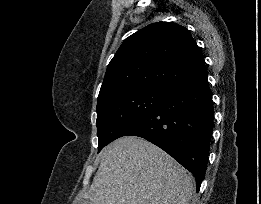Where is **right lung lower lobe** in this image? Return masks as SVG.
Returning <instances> with one entry per match:
<instances>
[{"label":"right lung lower lobe","instance_id":"right-lung-lower-lobe-1","mask_svg":"<svg viewBox=\"0 0 261 204\" xmlns=\"http://www.w3.org/2000/svg\"><path fill=\"white\" fill-rule=\"evenodd\" d=\"M205 64L165 91L160 102L126 129L157 145L196 178L199 188L207 166L214 109Z\"/></svg>","mask_w":261,"mask_h":204}]
</instances>
